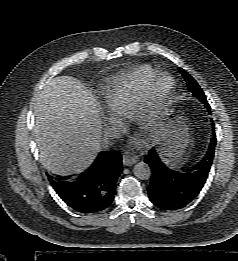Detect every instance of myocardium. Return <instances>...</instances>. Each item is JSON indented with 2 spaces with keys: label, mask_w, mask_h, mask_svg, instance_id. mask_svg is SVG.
<instances>
[{
  "label": "myocardium",
  "mask_w": 238,
  "mask_h": 261,
  "mask_svg": "<svg viewBox=\"0 0 238 261\" xmlns=\"http://www.w3.org/2000/svg\"><path fill=\"white\" fill-rule=\"evenodd\" d=\"M161 78L169 80V86L160 95L155 94V86ZM175 79L168 72H156L146 83L142 97L134 110L133 120L136 126L151 130L157 122L162 109L169 101L175 89Z\"/></svg>",
  "instance_id": "myocardium-1"
}]
</instances>
